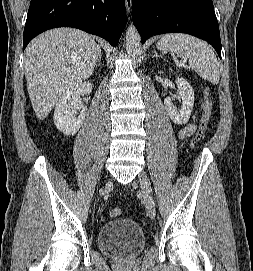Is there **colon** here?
<instances>
[{"instance_id":"colon-1","label":"colon","mask_w":253,"mask_h":271,"mask_svg":"<svg viewBox=\"0 0 253 271\" xmlns=\"http://www.w3.org/2000/svg\"><path fill=\"white\" fill-rule=\"evenodd\" d=\"M202 121L201 124L192 139V146H196L201 140L205 137L208 132L211 124L212 114H213V102L210 94L205 92L204 99L202 103ZM122 213L121 208L113 207L109 210V216L116 218L119 217Z\"/></svg>"}]
</instances>
